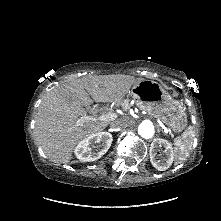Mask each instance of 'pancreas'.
Wrapping results in <instances>:
<instances>
[{"label":"pancreas","mask_w":221,"mask_h":221,"mask_svg":"<svg viewBox=\"0 0 221 221\" xmlns=\"http://www.w3.org/2000/svg\"><path fill=\"white\" fill-rule=\"evenodd\" d=\"M122 105L126 110L129 109L131 106L129 100H125Z\"/></svg>","instance_id":"pancreas-1"}]
</instances>
